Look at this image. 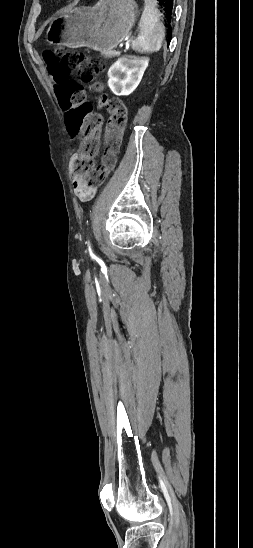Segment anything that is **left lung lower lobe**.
Listing matches in <instances>:
<instances>
[{"mask_svg":"<svg viewBox=\"0 0 253 548\" xmlns=\"http://www.w3.org/2000/svg\"><path fill=\"white\" fill-rule=\"evenodd\" d=\"M161 4L166 16L168 17V26L171 28L170 20L173 14L174 0H158ZM171 40V33L168 35V41Z\"/></svg>","mask_w":253,"mask_h":548,"instance_id":"0a47b994","label":"left lung lower lobe"}]
</instances>
